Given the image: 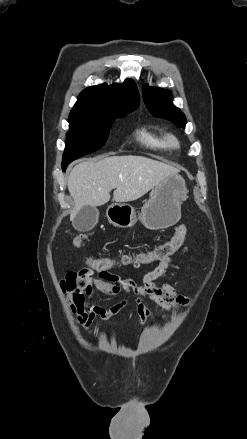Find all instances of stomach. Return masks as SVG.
I'll return each instance as SVG.
<instances>
[{"mask_svg":"<svg viewBox=\"0 0 247 439\" xmlns=\"http://www.w3.org/2000/svg\"><path fill=\"white\" fill-rule=\"evenodd\" d=\"M185 180L178 174L163 179L152 190L151 197L136 216L129 204H111L106 215L111 224L120 228H130L139 219L150 230H160L174 225L181 217V204L188 198Z\"/></svg>","mask_w":247,"mask_h":439,"instance_id":"obj_1","label":"stomach"}]
</instances>
